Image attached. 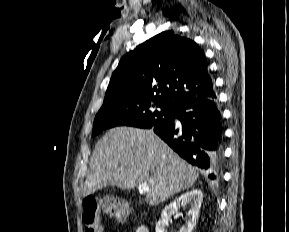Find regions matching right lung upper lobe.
Here are the masks:
<instances>
[{
	"mask_svg": "<svg viewBox=\"0 0 289 232\" xmlns=\"http://www.w3.org/2000/svg\"><path fill=\"white\" fill-rule=\"evenodd\" d=\"M207 68L204 52L194 41L165 31L123 56L105 99L137 97L177 108L213 98L216 93Z\"/></svg>",
	"mask_w": 289,
	"mask_h": 232,
	"instance_id": "cb5924a9",
	"label": "right lung upper lobe"
}]
</instances>
